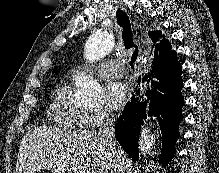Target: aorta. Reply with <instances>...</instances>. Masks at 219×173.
Listing matches in <instances>:
<instances>
[{"mask_svg": "<svg viewBox=\"0 0 219 173\" xmlns=\"http://www.w3.org/2000/svg\"><path fill=\"white\" fill-rule=\"evenodd\" d=\"M113 47V37L106 30H99L89 36L85 43L84 56L89 62L104 58ZM76 94L86 102L95 101L100 97L102 88L92 76L82 74L76 79ZM155 143L154 136L150 130L143 126L140 130L139 154H149Z\"/></svg>", "mask_w": 219, "mask_h": 173, "instance_id": "obj_1", "label": "aorta"}]
</instances>
